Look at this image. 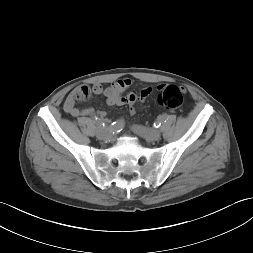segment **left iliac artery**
Wrapping results in <instances>:
<instances>
[{
  "label": "left iliac artery",
  "mask_w": 253,
  "mask_h": 253,
  "mask_svg": "<svg viewBox=\"0 0 253 253\" xmlns=\"http://www.w3.org/2000/svg\"><path fill=\"white\" fill-rule=\"evenodd\" d=\"M165 119L164 117H160L159 120L156 122V127H160L161 126V122ZM155 125V124H154Z\"/></svg>",
  "instance_id": "left-iliac-artery-1"
}]
</instances>
